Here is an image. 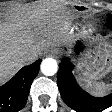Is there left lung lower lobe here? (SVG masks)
I'll list each match as a JSON object with an SVG mask.
<instances>
[{
    "label": "left lung lower lobe",
    "mask_w": 112,
    "mask_h": 112,
    "mask_svg": "<svg viewBox=\"0 0 112 112\" xmlns=\"http://www.w3.org/2000/svg\"><path fill=\"white\" fill-rule=\"evenodd\" d=\"M106 27L112 31V23ZM78 49H82L79 46ZM73 65L69 59L59 64L57 84L63 101L77 112H100L112 106V94L105 97H93L85 92L76 82L72 73Z\"/></svg>",
    "instance_id": "1"
}]
</instances>
